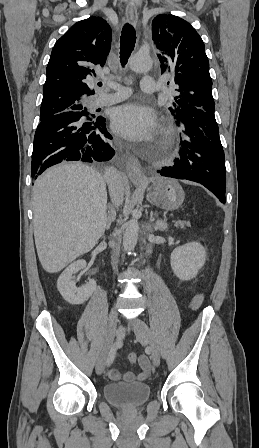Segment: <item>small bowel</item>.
Returning <instances> with one entry per match:
<instances>
[{"instance_id": "1", "label": "small bowel", "mask_w": 259, "mask_h": 448, "mask_svg": "<svg viewBox=\"0 0 259 448\" xmlns=\"http://www.w3.org/2000/svg\"><path fill=\"white\" fill-rule=\"evenodd\" d=\"M202 302V296H197L193 301V307L198 308L199 305ZM139 366L141 368V372L139 374H134L133 372H125L121 374L118 370L112 369L108 372V377L111 380H120L123 378L127 382H134V381H143L148 378L150 371H151V364L150 360L147 356L142 355L139 358Z\"/></svg>"}]
</instances>
